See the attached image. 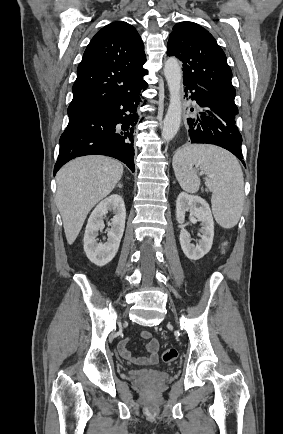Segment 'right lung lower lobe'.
<instances>
[{"label":"right lung lower lobe","instance_id":"right-lung-lower-lobe-1","mask_svg":"<svg viewBox=\"0 0 283 434\" xmlns=\"http://www.w3.org/2000/svg\"><path fill=\"white\" fill-rule=\"evenodd\" d=\"M146 87L147 83L142 81L126 95L69 116L68 126L60 137L54 175L71 159L92 154L114 157L134 172L133 143L139 92Z\"/></svg>","mask_w":283,"mask_h":434}]
</instances>
